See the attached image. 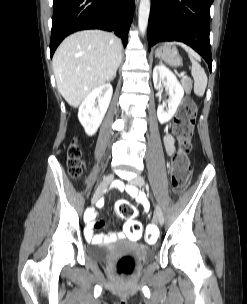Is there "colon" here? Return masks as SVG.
I'll return each mask as SVG.
<instances>
[{
	"mask_svg": "<svg viewBox=\"0 0 247 304\" xmlns=\"http://www.w3.org/2000/svg\"><path fill=\"white\" fill-rule=\"evenodd\" d=\"M197 107L191 98H185L173 119V132L179 141V150L174 155L171 163V184L175 189L183 188L190 176L191 167L188 158L190 150V139L195 122ZM68 171L73 178H78L81 174V150L76 141H73L68 149ZM118 214L128 219L125 235H129L131 241H141L143 227L141 222L134 219L135 208L127 201H120L117 205ZM147 236L145 241L147 246H154L155 240L160 238L159 224H146ZM135 268L132 257L124 256L116 264V273L119 276H130Z\"/></svg>",
	"mask_w": 247,
	"mask_h": 304,
	"instance_id": "1",
	"label": "colon"
}]
</instances>
